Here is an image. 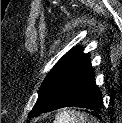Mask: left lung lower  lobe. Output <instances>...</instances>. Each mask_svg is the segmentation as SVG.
I'll list each match as a JSON object with an SVG mask.
<instances>
[{"mask_svg": "<svg viewBox=\"0 0 122 123\" xmlns=\"http://www.w3.org/2000/svg\"><path fill=\"white\" fill-rule=\"evenodd\" d=\"M102 105V94L95 83L94 70L89 62L71 80L63 94L46 112L72 106L98 110Z\"/></svg>", "mask_w": 122, "mask_h": 123, "instance_id": "left-lung-lower-lobe-1", "label": "left lung lower lobe"}]
</instances>
